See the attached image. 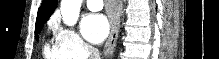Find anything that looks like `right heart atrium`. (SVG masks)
Segmentation results:
<instances>
[{
	"label": "right heart atrium",
	"mask_w": 219,
	"mask_h": 59,
	"mask_svg": "<svg viewBox=\"0 0 219 59\" xmlns=\"http://www.w3.org/2000/svg\"><path fill=\"white\" fill-rule=\"evenodd\" d=\"M55 37L69 58L84 59L92 54V47L73 29L58 27Z\"/></svg>",
	"instance_id": "d8ad5b80"
}]
</instances>
